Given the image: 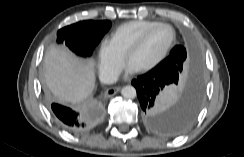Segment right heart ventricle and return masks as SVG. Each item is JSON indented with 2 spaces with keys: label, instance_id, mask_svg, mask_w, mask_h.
Returning <instances> with one entry per match:
<instances>
[{
  "label": "right heart ventricle",
  "instance_id": "e07e8e85",
  "mask_svg": "<svg viewBox=\"0 0 244 157\" xmlns=\"http://www.w3.org/2000/svg\"><path fill=\"white\" fill-rule=\"evenodd\" d=\"M160 23L154 20H133L119 25L112 33L110 42L122 56L134 41L148 28Z\"/></svg>",
  "mask_w": 244,
  "mask_h": 157
}]
</instances>
